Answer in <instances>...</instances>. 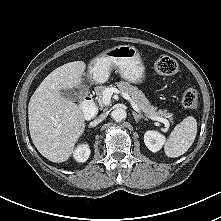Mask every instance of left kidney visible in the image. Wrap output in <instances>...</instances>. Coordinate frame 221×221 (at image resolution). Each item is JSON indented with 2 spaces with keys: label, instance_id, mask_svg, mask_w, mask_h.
Segmentation results:
<instances>
[{
  "label": "left kidney",
  "instance_id": "1",
  "mask_svg": "<svg viewBox=\"0 0 221 221\" xmlns=\"http://www.w3.org/2000/svg\"><path fill=\"white\" fill-rule=\"evenodd\" d=\"M144 142L150 151L157 152L162 148L165 137L156 131H147L144 135Z\"/></svg>",
  "mask_w": 221,
  "mask_h": 221
}]
</instances>
